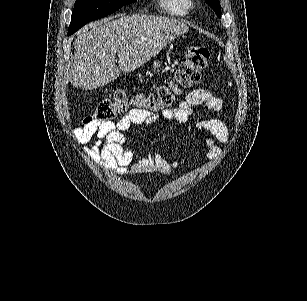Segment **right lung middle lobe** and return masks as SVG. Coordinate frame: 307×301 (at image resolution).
<instances>
[{
	"label": "right lung middle lobe",
	"mask_w": 307,
	"mask_h": 301,
	"mask_svg": "<svg viewBox=\"0 0 307 301\" xmlns=\"http://www.w3.org/2000/svg\"><path fill=\"white\" fill-rule=\"evenodd\" d=\"M136 0H76L71 16L68 35L90 21L100 19Z\"/></svg>",
	"instance_id": "obj_1"
}]
</instances>
